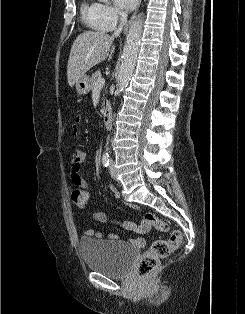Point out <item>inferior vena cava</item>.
<instances>
[{
  "label": "inferior vena cava",
  "mask_w": 245,
  "mask_h": 314,
  "mask_svg": "<svg viewBox=\"0 0 245 314\" xmlns=\"http://www.w3.org/2000/svg\"><path fill=\"white\" fill-rule=\"evenodd\" d=\"M119 15H120V25H119L118 29L114 31L113 36L120 35V33L122 32V28H123L124 24L127 22V13L120 12Z\"/></svg>",
  "instance_id": "1"
}]
</instances>
